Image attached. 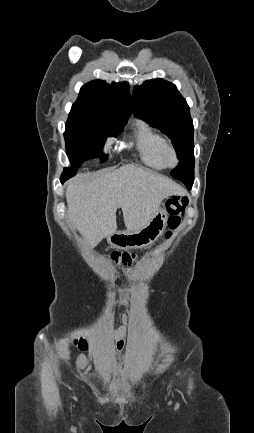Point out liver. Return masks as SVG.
<instances>
[{
  "mask_svg": "<svg viewBox=\"0 0 254 433\" xmlns=\"http://www.w3.org/2000/svg\"><path fill=\"white\" fill-rule=\"evenodd\" d=\"M182 193L169 178L126 164L92 182L73 180L66 189L69 219L94 248L117 230L116 211H123L127 230L144 227L160 209L162 200Z\"/></svg>",
  "mask_w": 254,
  "mask_h": 433,
  "instance_id": "obj_1",
  "label": "liver"
}]
</instances>
